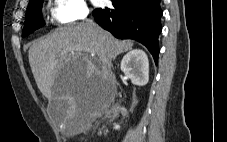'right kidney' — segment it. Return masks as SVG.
Here are the masks:
<instances>
[{
    "mask_svg": "<svg viewBox=\"0 0 227 142\" xmlns=\"http://www.w3.org/2000/svg\"><path fill=\"white\" fill-rule=\"evenodd\" d=\"M121 71L134 85H146L149 80V61L146 53L140 49L128 52L121 61Z\"/></svg>",
    "mask_w": 227,
    "mask_h": 142,
    "instance_id": "obj_1",
    "label": "right kidney"
}]
</instances>
